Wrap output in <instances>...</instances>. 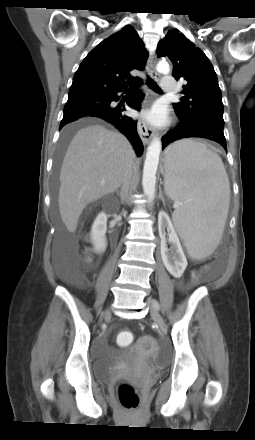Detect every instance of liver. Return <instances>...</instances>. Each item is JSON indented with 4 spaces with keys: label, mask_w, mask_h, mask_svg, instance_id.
<instances>
[{
    "label": "liver",
    "mask_w": 255,
    "mask_h": 440,
    "mask_svg": "<svg viewBox=\"0 0 255 440\" xmlns=\"http://www.w3.org/2000/svg\"><path fill=\"white\" fill-rule=\"evenodd\" d=\"M134 151L122 134L101 125L81 128L73 137L60 171L59 211L74 232L84 208L115 192L133 163Z\"/></svg>",
    "instance_id": "6515ba94"
}]
</instances>
